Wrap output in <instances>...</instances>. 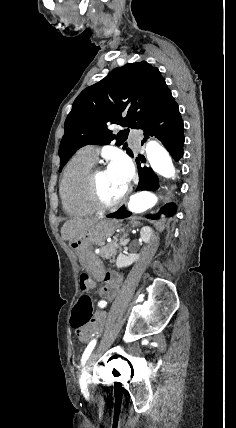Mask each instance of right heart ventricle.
I'll use <instances>...</instances> for the list:
<instances>
[{
	"label": "right heart ventricle",
	"instance_id": "right-heart-ventricle-1",
	"mask_svg": "<svg viewBox=\"0 0 236 428\" xmlns=\"http://www.w3.org/2000/svg\"><path fill=\"white\" fill-rule=\"evenodd\" d=\"M95 160L86 148L79 150L70 161L60 184V195L65 211L73 216H89L97 209L88 195V178L93 171Z\"/></svg>",
	"mask_w": 236,
	"mask_h": 428
}]
</instances>
